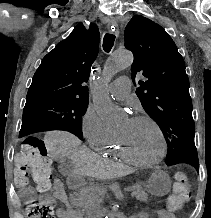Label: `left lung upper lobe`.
Returning a JSON list of instances; mask_svg holds the SVG:
<instances>
[{
	"mask_svg": "<svg viewBox=\"0 0 211 218\" xmlns=\"http://www.w3.org/2000/svg\"><path fill=\"white\" fill-rule=\"evenodd\" d=\"M125 47L134 55L136 94L167 142L166 164L185 162L198 170L189 79L176 44L159 24L135 15L125 29Z\"/></svg>",
	"mask_w": 211,
	"mask_h": 218,
	"instance_id": "left-lung-upper-lobe-1",
	"label": "left lung upper lobe"
}]
</instances>
